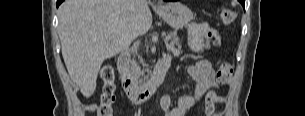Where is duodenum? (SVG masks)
Instances as JSON below:
<instances>
[{"instance_id": "410a0bca", "label": "duodenum", "mask_w": 305, "mask_h": 116, "mask_svg": "<svg viewBox=\"0 0 305 116\" xmlns=\"http://www.w3.org/2000/svg\"><path fill=\"white\" fill-rule=\"evenodd\" d=\"M130 57L124 53L117 59V67L120 73V80L125 94L132 104H143L163 84L170 64V58H162L156 65L150 79L143 85H136L128 73Z\"/></svg>"}]
</instances>
